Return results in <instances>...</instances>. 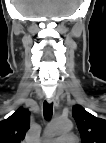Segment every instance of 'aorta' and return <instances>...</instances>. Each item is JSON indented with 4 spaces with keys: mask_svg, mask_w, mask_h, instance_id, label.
I'll use <instances>...</instances> for the list:
<instances>
[{
    "mask_svg": "<svg viewBox=\"0 0 106 143\" xmlns=\"http://www.w3.org/2000/svg\"><path fill=\"white\" fill-rule=\"evenodd\" d=\"M73 125L70 120L67 119H56L48 127V133L50 135H58L62 133H68L71 131Z\"/></svg>",
    "mask_w": 106,
    "mask_h": 143,
    "instance_id": "1",
    "label": "aorta"
}]
</instances>
